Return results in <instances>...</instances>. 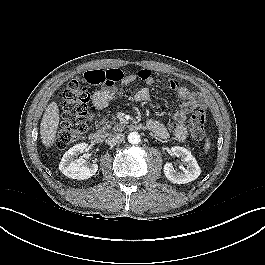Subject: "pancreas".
Listing matches in <instances>:
<instances>
[{
    "mask_svg": "<svg viewBox=\"0 0 265 265\" xmlns=\"http://www.w3.org/2000/svg\"><path fill=\"white\" fill-rule=\"evenodd\" d=\"M102 123H105V121H103ZM110 128H111V126L106 123V126L103 128L104 129V133L106 135L108 134L107 133V130L110 129ZM123 128H124V125L123 124H116L115 127H114V130L115 131H122Z\"/></svg>",
    "mask_w": 265,
    "mask_h": 265,
    "instance_id": "cf45deb5",
    "label": "pancreas"
}]
</instances>
